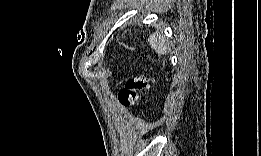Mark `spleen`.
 I'll use <instances>...</instances> for the list:
<instances>
[{
	"mask_svg": "<svg viewBox=\"0 0 261 156\" xmlns=\"http://www.w3.org/2000/svg\"><path fill=\"white\" fill-rule=\"evenodd\" d=\"M148 42L159 55L167 53L168 41L163 36V33H152L148 38Z\"/></svg>",
	"mask_w": 261,
	"mask_h": 156,
	"instance_id": "1",
	"label": "spleen"
}]
</instances>
